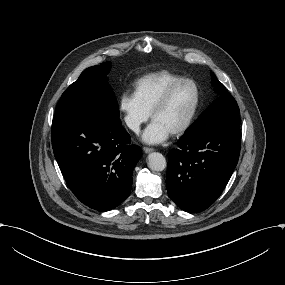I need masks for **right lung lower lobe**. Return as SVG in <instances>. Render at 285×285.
<instances>
[{"label":"right lung lower lobe","mask_w":285,"mask_h":285,"mask_svg":"<svg viewBox=\"0 0 285 285\" xmlns=\"http://www.w3.org/2000/svg\"><path fill=\"white\" fill-rule=\"evenodd\" d=\"M116 117L69 113L55 115L52 146L62 175L88 207L108 211L130 194L132 172L141 150Z\"/></svg>","instance_id":"98d812e1"}]
</instances>
